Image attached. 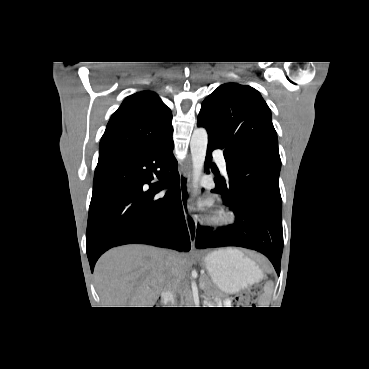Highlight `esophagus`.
<instances>
[{
	"instance_id": "1",
	"label": "esophagus",
	"mask_w": 369,
	"mask_h": 369,
	"mask_svg": "<svg viewBox=\"0 0 369 369\" xmlns=\"http://www.w3.org/2000/svg\"><path fill=\"white\" fill-rule=\"evenodd\" d=\"M190 179H191V168L190 166H187L183 168L180 172V192L185 221L188 228L191 245L192 248H194L196 239L197 221L194 215L191 213L189 206Z\"/></svg>"
}]
</instances>
